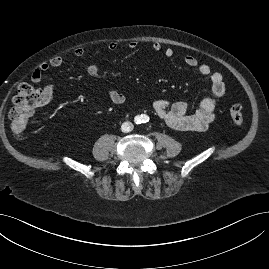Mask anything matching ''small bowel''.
Listing matches in <instances>:
<instances>
[{"mask_svg":"<svg viewBox=\"0 0 269 269\" xmlns=\"http://www.w3.org/2000/svg\"><path fill=\"white\" fill-rule=\"evenodd\" d=\"M138 47L136 41H130L128 48L135 50ZM110 52L118 49L116 42H110L107 45ZM152 49L156 52L163 51L166 58H171L174 55V50L170 47L163 49L162 44L154 42ZM76 57H83L85 50L81 47L76 48L74 51ZM65 59L62 56H56L47 62L40 64L31 74L33 83H39L42 80L43 74L50 68L59 67L64 63ZM184 63L190 68H195L199 75L208 77L210 79V90L212 97L206 98L201 101L199 108L194 113L189 112V104L186 101H177L169 104L165 100H156L153 103V108L156 114L165 122L167 126L177 131H204L215 119L216 107L221 99H223L227 92V87L224 77L220 72H212L207 64H200L196 57L187 54L184 57ZM86 72L90 76H96L99 68L96 64L91 63L86 66ZM42 105L51 102L55 92V86L49 84L42 90ZM108 97L114 104L121 105L126 101L125 96L117 90L109 89Z\"/></svg>","mask_w":269,"mask_h":269,"instance_id":"small-bowel-1","label":"small bowel"}]
</instances>
